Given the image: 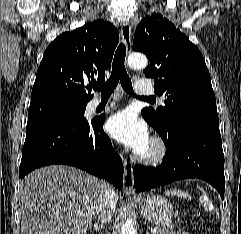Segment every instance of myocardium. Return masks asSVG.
I'll list each match as a JSON object with an SVG mask.
<instances>
[{"mask_svg":"<svg viewBox=\"0 0 241 234\" xmlns=\"http://www.w3.org/2000/svg\"><path fill=\"white\" fill-rule=\"evenodd\" d=\"M149 144L150 150L145 154H137L136 160L144 165H158L162 163L168 151L165 141L159 136H154Z\"/></svg>","mask_w":241,"mask_h":234,"instance_id":"f54148a6","label":"myocardium"}]
</instances>
